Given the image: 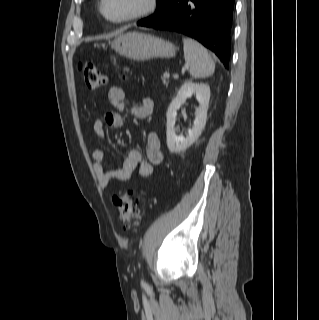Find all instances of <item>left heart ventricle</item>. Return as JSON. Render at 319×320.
<instances>
[{
  "instance_id": "1",
  "label": "left heart ventricle",
  "mask_w": 319,
  "mask_h": 320,
  "mask_svg": "<svg viewBox=\"0 0 319 320\" xmlns=\"http://www.w3.org/2000/svg\"><path fill=\"white\" fill-rule=\"evenodd\" d=\"M148 0H106V13L113 19H121L146 7Z\"/></svg>"
}]
</instances>
